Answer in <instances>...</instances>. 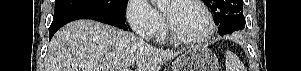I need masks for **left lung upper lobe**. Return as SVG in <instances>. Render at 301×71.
Here are the masks:
<instances>
[{"instance_id": "obj_1", "label": "left lung upper lobe", "mask_w": 301, "mask_h": 71, "mask_svg": "<svg viewBox=\"0 0 301 71\" xmlns=\"http://www.w3.org/2000/svg\"><path fill=\"white\" fill-rule=\"evenodd\" d=\"M214 13L216 23L231 14H243V0H205Z\"/></svg>"}]
</instances>
